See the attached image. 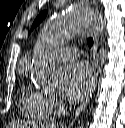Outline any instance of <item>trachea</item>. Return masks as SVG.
<instances>
[{
    "label": "trachea",
    "mask_w": 125,
    "mask_h": 128,
    "mask_svg": "<svg viewBox=\"0 0 125 128\" xmlns=\"http://www.w3.org/2000/svg\"><path fill=\"white\" fill-rule=\"evenodd\" d=\"M87 45L91 48L93 46V38L87 39Z\"/></svg>",
    "instance_id": "trachea-1"
}]
</instances>
